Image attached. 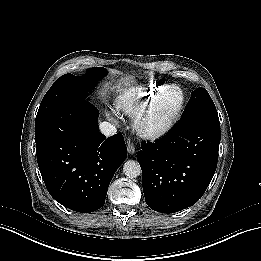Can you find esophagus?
<instances>
[{
	"instance_id": "1",
	"label": "esophagus",
	"mask_w": 261,
	"mask_h": 261,
	"mask_svg": "<svg viewBox=\"0 0 261 261\" xmlns=\"http://www.w3.org/2000/svg\"><path fill=\"white\" fill-rule=\"evenodd\" d=\"M127 150L130 154H134L135 153V146L132 142H128L127 144Z\"/></svg>"
}]
</instances>
